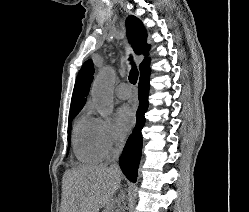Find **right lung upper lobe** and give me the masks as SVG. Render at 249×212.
I'll use <instances>...</instances> for the list:
<instances>
[{
	"label": "right lung upper lobe",
	"instance_id": "right-lung-upper-lobe-1",
	"mask_svg": "<svg viewBox=\"0 0 249 212\" xmlns=\"http://www.w3.org/2000/svg\"><path fill=\"white\" fill-rule=\"evenodd\" d=\"M127 35L130 44L136 54L148 55L150 46L147 45V32L142 22L135 16L126 19ZM149 65V58L146 57L140 64V71ZM94 66L91 59L86 61L78 76L73 90L70 110H80L83 108L88 96L90 85L93 79Z\"/></svg>",
	"mask_w": 249,
	"mask_h": 212
}]
</instances>
